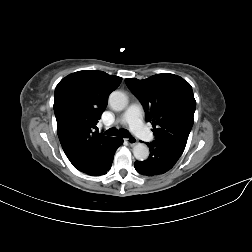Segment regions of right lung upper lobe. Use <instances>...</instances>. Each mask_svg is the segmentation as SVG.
I'll list each match as a JSON object with an SVG mask.
<instances>
[{
	"label": "right lung upper lobe",
	"instance_id": "cb5924a9",
	"mask_svg": "<svg viewBox=\"0 0 252 252\" xmlns=\"http://www.w3.org/2000/svg\"><path fill=\"white\" fill-rule=\"evenodd\" d=\"M122 78L103 71L83 70L62 79L55 89L54 113L62 148L76 169L94 162L111 137L93 129L109 94Z\"/></svg>",
	"mask_w": 252,
	"mask_h": 252
}]
</instances>
